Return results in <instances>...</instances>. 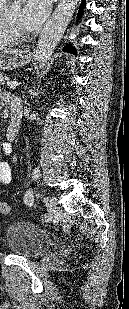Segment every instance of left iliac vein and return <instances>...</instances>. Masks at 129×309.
Masks as SVG:
<instances>
[{
  "mask_svg": "<svg viewBox=\"0 0 129 309\" xmlns=\"http://www.w3.org/2000/svg\"><path fill=\"white\" fill-rule=\"evenodd\" d=\"M43 201L49 208V213L52 219L57 218L61 214L54 198L44 197Z\"/></svg>",
  "mask_w": 129,
  "mask_h": 309,
  "instance_id": "obj_1",
  "label": "left iliac vein"
}]
</instances>
